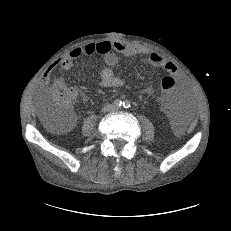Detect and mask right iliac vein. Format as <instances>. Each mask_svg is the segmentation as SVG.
<instances>
[{
  "instance_id": "obj_1",
  "label": "right iliac vein",
  "mask_w": 231,
  "mask_h": 231,
  "mask_svg": "<svg viewBox=\"0 0 231 231\" xmlns=\"http://www.w3.org/2000/svg\"><path fill=\"white\" fill-rule=\"evenodd\" d=\"M112 109H113L112 106H106V107L103 108V112H109Z\"/></svg>"
}]
</instances>
